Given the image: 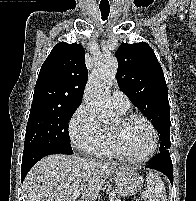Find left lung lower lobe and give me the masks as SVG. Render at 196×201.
I'll list each match as a JSON object with an SVG mask.
<instances>
[{"label": "left lung lower lobe", "mask_w": 196, "mask_h": 201, "mask_svg": "<svg viewBox=\"0 0 196 201\" xmlns=\"http://www.w3.org/2000/svg\"><path fill=\"white\" fill-rule=\"evenodd\" d=\"M146 167L162 172L173 184V165L169 154V149L160 151Z\"/></svg>", "instance_id": "1"}]
</instances>
